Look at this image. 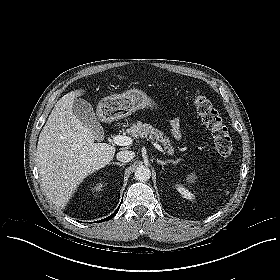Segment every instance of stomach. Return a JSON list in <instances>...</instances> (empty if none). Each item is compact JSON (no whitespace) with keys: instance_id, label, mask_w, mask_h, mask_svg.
<instances>
[{"instance_id":"0dacf381","label":"stomach","mask_w":280,"mask_h":280,"mask_svg":"<svg viewBox=\"0 0 280 280\" xmlns=\"http://www.w3.org/2000/svg\"><path fill=\"white\" fill-rule=\"evenodd\" d=\"M154 107H156L154 100L142 90L135 88L122 94L105 97L98 106L100 113L108 120H117L139 109Z\"/></svg>"}]
</instances>
